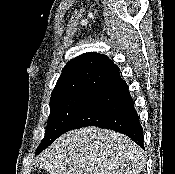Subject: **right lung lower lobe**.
Masks as SVG:
<instances>
[{
    "label": "right lung lower lobe",
    "mask_w": 175,
    "mask_h": 174,
    "mask_svg": "<svg viewBox=\"0 0 175 174\" xmlns=\"http://www.w3.org/2000/svg\"><path fill=\"white\" fill-rule=\"evenodd\" d=\"M86 126L120 132L144 148L143 128L128 86L119 72L101 82L89 93L65 132ZM47 147L38 148L37 153Z\"/></svg>",
    "instance_id": "98d812e1"
}]
</instances>
